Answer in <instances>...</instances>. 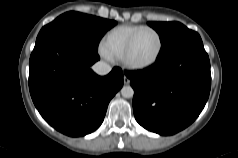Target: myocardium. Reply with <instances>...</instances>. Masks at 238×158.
Segmentation results:
<instances>
[{
  "instance_id": "obj_1",
  "label": "myocardium",
  "mask_w": 238,
  "mask_h": 158,
  "mask_svg": "<svg viewBox=\"0 0 238 158\" xmlns=\"http://www.w3.org/2000/svg\"><path fill=\"white\" fill-rule=\"evenodd\" d=\"M144 31H152L157 35L158 41H159L158 51H157L155 57L151 61H149L147 63H143V64H134L130 61L129 57H130L131 51L134 47V44H135L138 36ZM163 48H164V42H163L161 33L156 28H153L150 26H144V27L140 28L139 30H137L129 39V41L123 51V54L121 56V61L124 64V66L130 70H145V69L152 67L154 64H156V62L159 60V58L162 54Z\"/></svg>"
}]
</instances>
